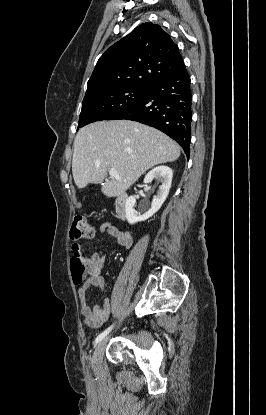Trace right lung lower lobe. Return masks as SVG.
<instances>
[{
    "mask_svg": "<svg viewBox=\"0 0 266 415\" xmlns=\"http://www.w3.org/2000/svg\"><path fill=\"white\" fill-rule=\"evenodd\" d=\"M192 94L186 68L148 88L146 96L109 120L126 119L152 126L174 139L189 157Z\"/></svg>",
    "mask_w": 266,
    "mask_h": 415,
    "instance_id": "1",
    "label": "right lung lower lobe"
}]
</instances>
